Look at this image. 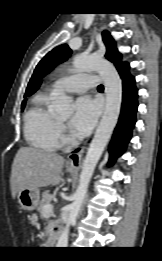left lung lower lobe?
I'll return each instance as SVG.
<instances>
[{"label": "left lung lower lobe", "instance_id": "1", "mask_svg": "<svg viewBox=\"0 0 162 261\" xmlns=\"http://www.w3.org/2000/svg\"><path fill=\"white\" fill-rule=\"evenodd\" d=\"M128 69L129 64H125L118 70L123 84L122 108L109 147V164H113L116 158L124 153L126 146L131 139L132 129L136 123L135 116L138 108V90L135 87V79L130 75Z\"/></svg>", "mask_w": 162, "mask_h": 261}]
</instances>
